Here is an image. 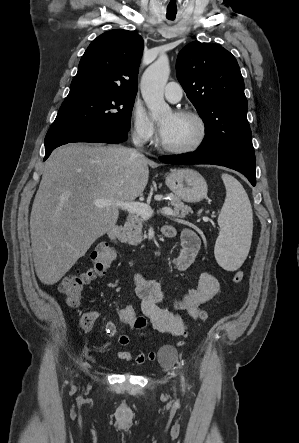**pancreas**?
I'll return each mask as SVG.
<instances>
[{"instance_id": "pancreas-1", "label": "pancreas", "mask_w": 299, "mask_h": 443, "mask_svg": "<svg viewBox=\"0 0 299 443\" xmlns=\"http://www.w3.org/2000/svg\"><path fill=\"white\" fill-rule=\"evenodd\" d=\"M170 205L173 206V216L185 218L192 212L191 208L185 206L180 198L170 195ZM143 219L137 214H130L124 224L123 233L119 236L121 242L129 245H138L143 242L142 236Z\"/></svg>"}]
</instances>
